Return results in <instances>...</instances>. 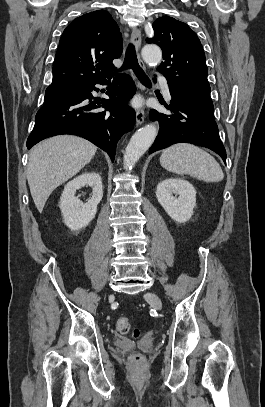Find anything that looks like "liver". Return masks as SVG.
<instances>
[{
    "mask_svg": "<svg viewBox=\"0 0 265 407\" xmlns=\"http://www.w3.org/2000/svg\"><path fill=\"white\" fill-rule=\"evenodd\" d=\"M96 150L91 142L73 135L51 137L31 149L27 180L40 213L50 194L87 165Z\"/></svg>",
    "mask_w": 265,
    "mask_h": 407,
    "instance_id": "1",
    "label": "liver"
}]
</instances>
